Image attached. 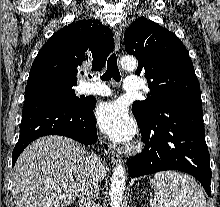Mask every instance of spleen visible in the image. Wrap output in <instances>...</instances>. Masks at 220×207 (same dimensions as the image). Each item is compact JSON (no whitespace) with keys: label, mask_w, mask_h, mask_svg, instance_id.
Wrapping results in <instances>:
<instances>
[{"label":"spleen","mask_w":220,"mask_h":207,"mask_svg":"<svg viewBox=\"0 0 220 207\" xmlns=\"http://www.w3.org/2000/svg\"><path fill=\"white\" fill-rule=\"evenodd\" d=\"M154 207H206L202 187L187 174L164 171L154 176Z\"/></svg>","instance_id":"obj_1"}]
</instances>
